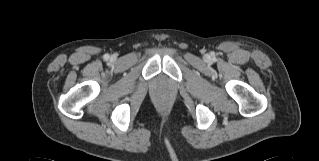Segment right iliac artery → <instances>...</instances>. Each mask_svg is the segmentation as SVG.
Returning a JSON list of instances; mask_svg holds the SVG:
<instances>
[{
	"label": "right iliac artery",
	"mask_w": 319,
	"mask_h": 161,
	"mask_svg": "<svg viewBox=\"0 0 319 161\" xmlns=\"http://www.w3.org/2000/svg\"><path fill=\"white\" fill-rule=\"evenodd\" d=\"M104 59H105V60H108V59H109V55H108V54H105V55H104Z\"/></svg>",
	"instance_id": "82829eb1"
}]
</instances>
